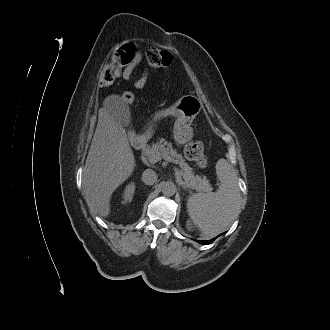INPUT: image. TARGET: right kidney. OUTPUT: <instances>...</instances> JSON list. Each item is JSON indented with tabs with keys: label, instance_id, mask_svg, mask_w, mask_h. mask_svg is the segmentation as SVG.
<instances>
[{
	"label": "right kidney",
	"instance_id": "right-kidney-1",
	"mask_svg": "<svg viewBox=\"0 0 330 330\" xmlns=\"http://www.w3.org/2000/svg\"><path fill=\"white\" fill-rule=\"evenodd\" d=\"M135 189H136V187H135V184L133 182H130L125 187V190H124V193H123L124 202H131L132 201L134 193H135Z\"/></svg>",
	"mask_w": 330,
	"mask_h": 330
}]
</instances>
